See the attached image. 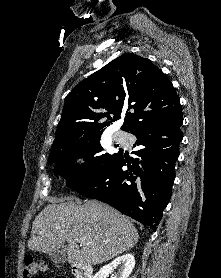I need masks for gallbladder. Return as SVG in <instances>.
I'll return each mask as SVG.
<instances>
[{
    "label": "gallbladder",
    "instance_id": "gallbladder-1",
    "mask_svg": "<svg viewBox=\"0 0 221 278\" xmlns=\"http://www.w3.org/2000/svg\"><path fill=\"white\" fill-rule=\"evenodd\" d=\"M50 259L55 264H63L66 262V251L65 249H59L50 254Z\"/></svg>",
    "mask_w": 221,
    "mask_h": 278
}]
</instances>
